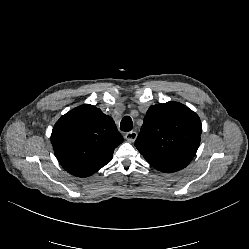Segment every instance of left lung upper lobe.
<instances>
[{
  "mask_svg": "<svg viewBox=\"0 0 249 249\" xmlns=\"http://www.w3.org/2000/svg\"><path fill=\"white\" fill-rule=\"evenodd\" d=\"M201 128L198 115L181 103L153 105L144 117L135 146L156 169L176 172L195 156Z\"/></svg>",
  "mask_w": 249,
  "mask_h": 249,
  "instance_id": "1",
  "label": "left lung upper lobe"
}]
</instances>
